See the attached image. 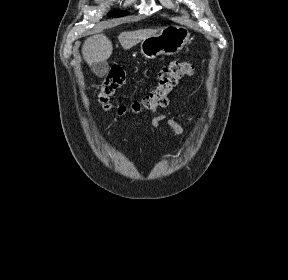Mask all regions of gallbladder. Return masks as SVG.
I'll use <instances>...</instances> for the list:
<instances>
[{
    "mask_svg": "<svg viewBox=\"0 0 288 280\" xmlns=\"http://www.w3.org/2000/svg\"><path fill=\"white\" fill-rule=\"evenodd\" d=\"M92 71L96 76L102 78L108 73L109 64L106 61L93 63L92 64Z\"/></svg>",
    "mask_w": 288,
    "mask_h": 280,
    "instance_id": "1",
    "label": "gallbladder"
}]
</instances>
